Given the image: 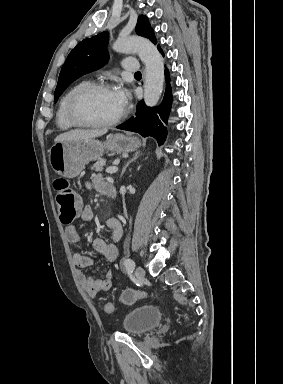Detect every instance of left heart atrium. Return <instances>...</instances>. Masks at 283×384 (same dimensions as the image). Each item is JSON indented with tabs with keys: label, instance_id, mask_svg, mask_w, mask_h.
Listing matches in <instances>:
<instances>
[{
	"label": "left heart atrium",
	"instance_id": "1",
	"mask_svg": "<svg viewBox=\"0 0 283 384\" xmlns=\"http://www.w3.org/2000/svg\"><path fill=\"white\" fill-rule=\"evenodd\" d=\"M112 94L114 97V100L120 110H123L127 107L128 104V93L120 88V87H115L112 90Z\"/></svg>",
	"mask_w": 283,
	"mask_h": 384
}]
</instances>
